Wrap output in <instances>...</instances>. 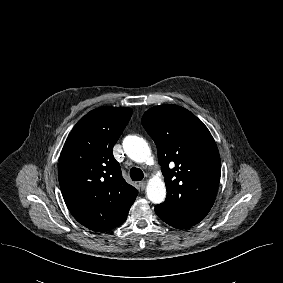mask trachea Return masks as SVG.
Listing matches in <instances>:
<instances>
[{
    "instance_id": "3493384b",
    "label": "trachea",
    "mask_w": 283,
    "mask_h": 283,
    "mask_svg": "<svg viewBox=\"0 0 283 283\" xmlns=\"http://www.w3.org/2000/svg\"><path fill=\"white\" fill-rule=\"evenodd\" d=\"M130 177L133 181H141L144 177V174L141 169L133 167L130 170Z\"/></svg>"
}]
</instances>
